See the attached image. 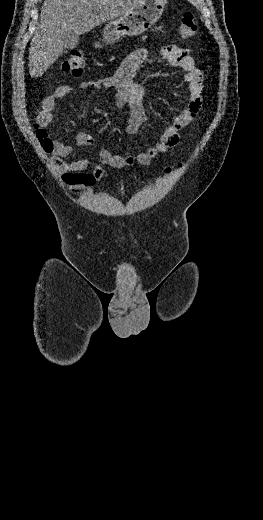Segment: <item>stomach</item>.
<instances>
[{
    "mask_svg": "<svg viewBox=\"0 0 263 520\" xmlns=\"http://www.w3.org/2000/svg\"><path fill=\"white\" fill-rule=\"evenodd\" d=\"M167 0H144L141 4L111 20L103 29V41L114 43L122 36H138L161 17Z\"/></svg>",
    "mask_w": 263,
    "mask_h": 520,
    "instance_id": "obj_1",
    "label": "stomach"
}]
</instances>
